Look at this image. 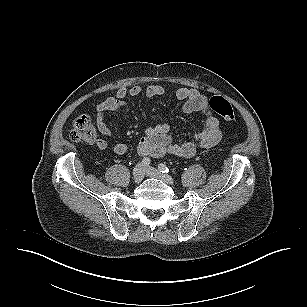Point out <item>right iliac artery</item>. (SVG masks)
<instances>
[{
    "label": "right iliac artery",
    "mask_w": 307,
    "mask_h": 307,
    "mask_svg": "<svg viewBox=\"0 0 307 307\" xmlns=\"http://www.w3.org/2000/svg\"><path fill=\"white\" fill-rule=\"evenodd\" d=\"M143 166H148L150 164V159L149 158H143L141 161Z\"/></svg>",
    "instance_id": "right-iliac-artery-1"
}]
</instances>
